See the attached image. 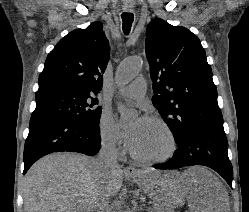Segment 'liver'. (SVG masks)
I'll return each mask as SVG.
<instances>
[{
	"mask_svg": "<svg viewBox=\"0 0 249 212\" xmlns=\"http://www.w3.org/2000/svg\"><path fill=\"white\" fill-rule=\"evenodd\" d=\"M102 172L83 154L44 156L24 176V212H102L124 180L121 166L107 170V184H102ZM131 178L154 204L180 208L188 202L190 212H230L228 192L204 166H192L183 174L136 170Z\"/></svg>",
	"mask_w": 249,
	"mask_h": 212,
	"instance_id": "obj_1",
	"label": "liver"
}]
</instances>
